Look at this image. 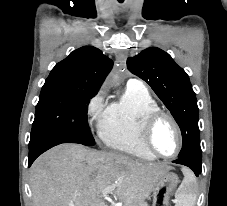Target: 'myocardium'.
Listing matches in <instances>:
<instances>
[{"instance_id": "obj_1", "label": "myocardium", "mask_w": 227, "mask_h": 206, "mask_svg": "<svg viewBox=\"0 0 227 206\" xmlns=\"http://www.w3.org/2000/svg\"><path fill=\"white\" fill-rule=\"evenodd\" d=\"M161 119L168 120L172 124V126L176 132L177 147H176V150L174 151V153H172L170 155H163V154L159 153L152 144V132H153L156 124ZM140 139H141L142 145L149 153H151L155 157L164 158V159H169V158H173V157L177 156L178 153L180 152V150L182 148V144H183L182 132H181L178 122L171 114H169L168 112L161 110V109L153 110V111L149 112L143 118V120L141 122V126H140Z\"/></svg>"}]
</instances>
